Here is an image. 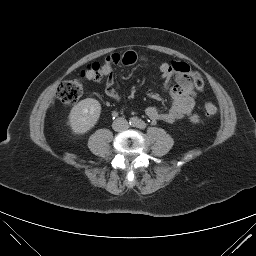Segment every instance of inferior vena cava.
I'll return each instance as SVG.
<instances>
[{
    "instance_id": "obj_1",
    "label": "inferior vena cava",
    "mask_w": 256,
    "mask_h": 256,
    "mask_svg": "<svg viewBox=\"0 0 256 256\" xmlns=\"http://www.w3.org/2000/svg\"><path fill=\"white\" fill-rule=\"evenodd\" d=\"M128 126L129 125L127 120L122 117L116 118L112 124V128L114 129V131H117V132H122L128 129Z\"/></svg>"
}]
</instances>
